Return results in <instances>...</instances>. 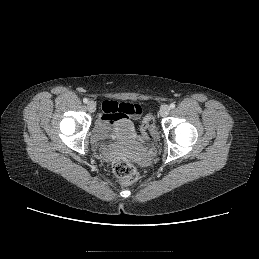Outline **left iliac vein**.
I'll list each match as a JSON object with an SVG mask.
<instances>
[{
    "label": "left iliac vein",
    "instance_id": "obj_1",
    "mask_svg": "<svg viewBox=\"0 0 259 259\" xmlns=\"http://www.w3.org/2000/svg\"><path fill=\"white\" fill-rule=\"evenodd\" d=\"M170 112V107L168 105H163L161 108H160V115L162 117H165L169 114Z\"/></svg>",
    "mask_w": 259,
    "mask_h": 259
}]
</instances>
